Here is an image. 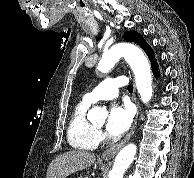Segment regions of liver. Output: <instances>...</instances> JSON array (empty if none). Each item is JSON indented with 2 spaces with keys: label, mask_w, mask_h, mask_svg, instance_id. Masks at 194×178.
Returning a JSON list of instances; mask_svg holds the SVG:
<instances>
[{
  "label": "liver",
  "mask_w": 194,
  "mask_h": 178,
  "mask_svg": "<svg viewBox=\"0 0 194 178\" xmlns=\"http://www.w3.org/2000/svg\"><path fill=\"white\" fill-rule=\"evenodd\" d=\"M94 161V153L82 150L65 152L51 162L47 169L46 178H66L72 173L91 166Z\"/></svg>",
  "instance_id": "obj_1"
}]
</instances>
